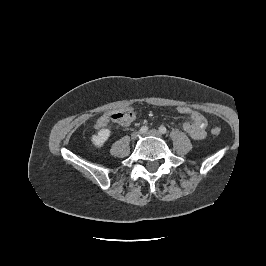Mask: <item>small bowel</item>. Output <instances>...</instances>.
I'll return each instance as SVG.
<instances>
[{
	"instance_id": "c3829d8e",
	"label": "small bowel",
	"mask_w": 266,
	"mask_h": 266,
	"mask_svg": "<svg viewBox=\"0 0 266 266\" xmlns=\"http://www.w3.org/2000/svg\"><path fill=\"white\" fill-rule=\"evenodd\" d=\"M135 116L130 119L129 121L123 123V126H128L133 120ZM110 120V113L102 114L95 123L96 129H102L107 126ZM182 127L186 133L194 140H202L206 137V127H207V120L205 117L198 113L194 112L190 116L189 121H185L182 124Z\"/></svg>"
}]
</instances>
